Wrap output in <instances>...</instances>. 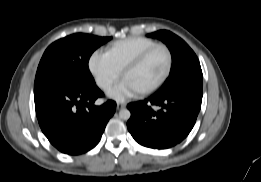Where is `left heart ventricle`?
<instances>
[{
  "label": "left heart ventricle",
  "mask_w": 261,
  "mask_h": 182,
  "mask_svg": "<svg viewBox=\"0 0 261 182\" xmlns=\"http://www.w3.org/2000/svg\"><path fill=\"white\" fill-rule=\"evenodd\" d=\"M167 61L166 52L163 49H157L138 68L127 73L124 80L141 92L161 79L166 70Z\"/></svg>",
  "instance_id": "obj_1"
}]
</instances>
